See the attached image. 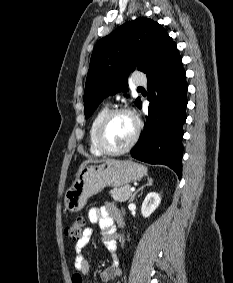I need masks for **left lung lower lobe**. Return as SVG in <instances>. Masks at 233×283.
<instances>
[{
	"instance_id": "0a47b994",
	"label": "left lung lower lobe",
	"mask_w": 233,
	"mask_h": 283,
	"mask_svg": "<svg viewBox=\"0 0 233 283\" xmlns=\"http://www.w3.org/2000/svg\"><path fill=\"white\" fill-rule=\"evenodd\" d=\"M148 116L144 132L131 151L135 159L165 164L181 178L183 123L186 120L187 83L176 45L147 74ZM141 102L138 107H141Z\"/></svg>"
}]
</instances>
